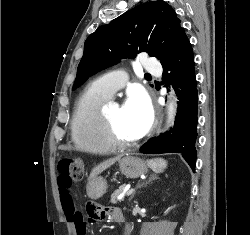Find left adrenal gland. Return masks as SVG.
Segmentation results:
<instances>
[{
    "mask_svg": "<svg viewBox=\"0 0 250 235\" xmlns=\"http://www.w3.org/2000/svg\"><path fill=\"white\" fill-rule=\"evenodd\" d=\"M155 179H158V177L155 176V175H151L150 178H149V180H148L147 182H145V183L139 185L138 188H140V187H142V186H144V185L149 184L150 182H152V181L155 180ZM135 193H136V191L133 192V194H132V196L130 197L129 201H131V200L133 199Z\"/></svg>",
    "mask_w": 250,
    "mask_h": 235,
    "instance_id": "1",
    "label": "left adrenal gland"
}]
</instances>
